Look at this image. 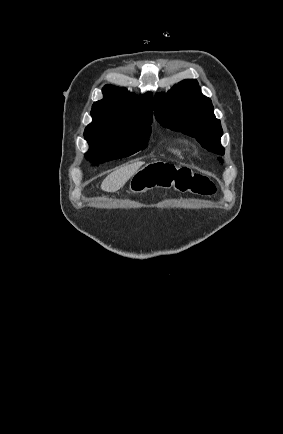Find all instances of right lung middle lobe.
Instances as JSON below:
<instances>
[{"instance_id":"dd1d6c3e","label":"right lung middle lobe","mask_w":283,"mask_h":434,"mask_svg":"<svg viewBox=\"0 0 283 434\" xmlns=\"http://www.w3.org/2000/svg\"><path fill=\"white\" fill-rule=\"evenodd\" d=\"M151 122L108 129L86 128L84 138L90 149L85 154L89 161L103 163L130 156L147 146Z\"/></svg>"}]
</instances>
